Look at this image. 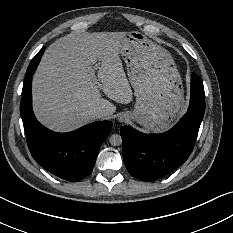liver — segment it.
<instances>
[{
	"mask_svg": "<svg viewBox=\"0 0 233 233\" xmlns=\"http://www.w3.org/2000/svg\"><path fill=\"white\" fill-rule=\"evenodd\" d=\"M125 34L71 32L45 50L32 83L33 109L42 124L73 130L95 120V109L105 110L102 119L113 115L116 106L110 100L133 101L117 47Z\"/></svg>",
	"mask_w": 233,
	"mask_h": 233,
	"instance_id": "liver-1",
	"label": "liver"
}]
</instances>
